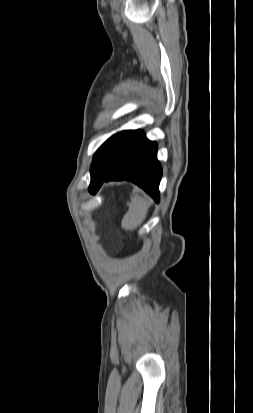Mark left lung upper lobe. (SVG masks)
<instances>
[{"instance_id":"5c2ea615","label":"left lung upper lobe","mask_w":253,"mask_h":413,"mask_svg":"<svg viewBox=\"0 0 253 413\" xmlns=\"http://www.w3.org/2000/svg\"><path fill=\"white\" fill-rule=\"evenodd\" d=\"M123 132H119L112 137H110L107 141H105L101 147L97 150L96 154L94 155L93 162L91 165V174L98 171V169L106 162L109 156L112 154L114 149L116 148Z\"/></svg>"}]
</instances>
